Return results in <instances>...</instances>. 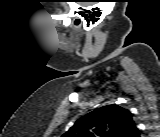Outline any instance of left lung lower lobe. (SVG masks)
Listing matches in <instances>:
<instances>
[{"mask_svg": "<svg viewBox=\"0 0 160 137\" xmlns=\"http://www.w3.org/2000/svg\"><path fill=\"white\" fill-rule=\"evenodd\" d=\"M135 137H139V132L136 134V136Z\"/></svg>", "mask_w": 160, "mask_h": 137, "instance_id": "0a47b994", "label": "left lung lower lobe"}]
</instances>
